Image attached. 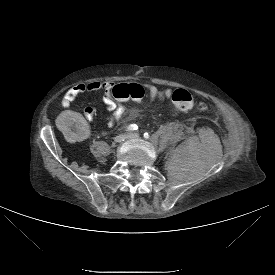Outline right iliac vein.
I'll return each mask as SVG.
<instances>
[{
	"label": "right iliac vein",
	"mask_w": 275,
	"mask_h": 275,
	"mask_svg": "<svg viewBox=\"0 0 275 275\" xmlns=\"http://www.w3.org/2000/svg\"><path fill=\"white\" fill-rule=\"evenodd\" d=\"M126 138H127V135L121 134V135L116 136L114 141H115V143H122L126 140Z\"/></svg>",
	"instance_id": "1"
}]
</instances>
